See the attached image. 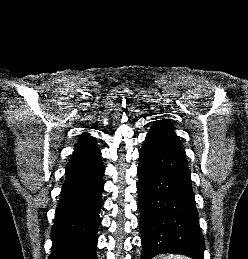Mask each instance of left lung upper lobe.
I'll list each match as a JSON object with an SVG mask.
<instances>
[{
  "instance_id": "obj_1",
  "label": "left lung upper lobe",
  "mask_w": 248,
  "mask_h": 259,
  "mask_svg": "<svg viewBox=\"0 0 248 259\" xmlns=\"http://www.w3.org/2000/svg\"><path fill=\"white\" fill-rule=\"evenodd\" d=\"M145 140L166 146L167 148L178 152L182 157L186 158L185 151L182 148L175 133L172 131L167 119L156 121L150 129Z\"/></svg>"
}]
</instances>
